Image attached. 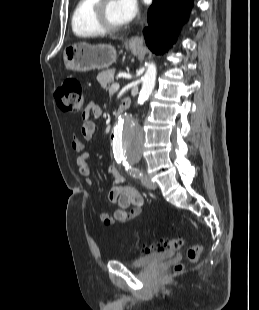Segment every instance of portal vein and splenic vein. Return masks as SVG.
Instances as JSON below:
<instances>
[{"mask_svg":"<svg viewBox=\"0 0 259 310\" xmlns=\"http://www.w3.org/2000/svg\"><path fill=\"white\" fill-rule=\"evenodd\" d=\"M120 88V85L118 83H113L112 86L109 89V92H115L118 91Z\"/></svg>","mask_w":259,"mask_h":310,"instance_id":"obj_1","label":"portal vein and splenic vein"}]
</instances>
